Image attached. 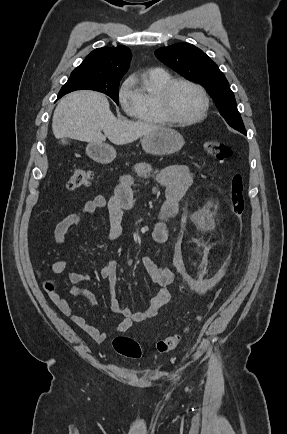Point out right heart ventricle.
I'll return each instance as SVG.
<instances>
[{
  "label": "right heart ventricle",
  "mask_w": 287,
  "mask_h": 434,
  "mask_svg": "<svg viewBox=\"0 0 287 434\" xmlns=\"http://www.w3.org/2000/svg\"><path fill=\"white\" fill-rule=\"evenodd\" d=\"M172 79L166 70L156 68L146 71L136 90L139 102L131 115L140 122L149 124H166L157 102L158 93L161 88Z\"/></svg>",
  "instance_id": "e07e8e85"
}]
</instances>
